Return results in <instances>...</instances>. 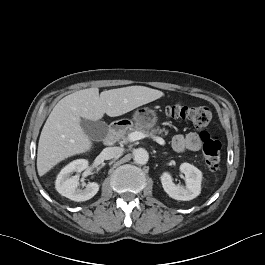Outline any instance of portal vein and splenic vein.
<instances>
[{"mask_svg":"<svg viewBox=\"0 0 265 265\" xmlns=\"http://www.w3.org/2000/svg\"><path fill=\"white\" fill-rule=\"evenodd\" d=\"M145 137H146L145 134L142 133L141 131H135L129 134L130 141H137ZM154 140L160 145H165V140L161 137H154Z\"/></svg>","mask_w":265,"mask_h":265,"instance_id":"18ae733b","label":"portal vein and splenic vein"}]
</instances>
